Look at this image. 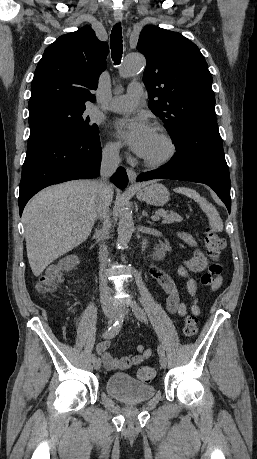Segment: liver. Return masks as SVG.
I'll return each instance as SVG.
<instances>
[{
	"instance_id": "1",
	"label": "liver",
	"mask_w": 257,
	"mask_h": 459,
	"mask_svg": "<svg viewBox=\"0 0 257 459\" xmlns=\"http://www.w3.org/2000/svg\"><path fill=\"white\" fill-rule=\"evenodd\" d=\"M96 193L93 180L70 181L46 188L25 207L27 256L36 277L89 237L96 218Z\"/></svg>"
}]
</instances>
